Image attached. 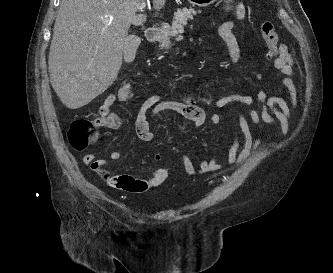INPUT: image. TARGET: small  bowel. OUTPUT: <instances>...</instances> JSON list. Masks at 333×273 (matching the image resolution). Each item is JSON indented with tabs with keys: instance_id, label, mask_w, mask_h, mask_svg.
I'll use <instances>...</instances> for the list:
<instances>
[{
	"instance_id": "obj_1",
	"label": "small bowel",
	"mask_w": 333,
	"mask_h": 273,
	"mask_svg": "<svg viewBox=\"0 0 333 273\" xmlns=\"http://www.w3.org/2000/svg\"><path fill=\"white\" fill-rule=\"evenodd\" d=\"M233 13L238 20L244 17V10L240 4L234 5ZM234 28L235 22L227 21L219 27V34L228 47L230 62L240 71H247L248 67L241 61L239 44L233 32ZM269 56H274V61H272L274 70L283 75L281 85L288 92L291 104H288L284 97L269 96L261 89L256 92V100L261 104L259 110L254 106V98L242 93H230L219 97L213 96V100L202 102H211L212 107L215 109H223L233 103L245 105L249 109L248 117L254 125L258 126L264 123L271 127H278L283 135H287L291 125L292 109L297 106V87L294 79L295 61L291 51L285 44H279L276 52L270 53ZM132 101V94L124 93L120 90L115 94L108 95L105 100H100L98 106L99 123H106L107 118H112V121L106 126L111 129L121 128L124 122L121 117L117 116L116 111H111V107L116 102ZM163 111L175 112L190 120L196 126L203 125L207 118L202 109H197L196 102L171 100L161 94L152 95L141 104L136 115L135 128L140 140L151 141L154 138L151 125L152 120ZM236 116L239 131L244 137V145L241 147L238 132L232 127L233 141L224 162H220L217 156L206 159L195 153L197 162V165H195L188 154L177 150L173 151L172 156L182 165L190 177L199 178L210 172L221 171L228 167L239 165L252 151L259 147L261 140L253 139L247 115L240 110H236ZM208 118L214 125H219L223 122V117L218 113H211ZM121 156L119 151L110 153V159L113 161L120 160ZM96 161H99L102 166L107 165L106 160L98 159L94 153H88L83 157L85 164H92ZM170 166L171 162L164 160L155 173L148 178H136L129 174L114 175L110 185L125 192L142 193L164 183L169 175ZM138 169L137 166L123 168L125 172H135Z\"/></svg>"
}]
</instances>
